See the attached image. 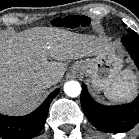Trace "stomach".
Here are the masks:
<instances>
[{
  "mask_svg": "<svg viewBox=\"0 0 139 139\" xmlns=\"http://www.w3.org/2000/svg\"><path fill=\"white\" fill-rule=\"evenodd\" d=\"M101 40L96 58L75 62L72 72L85 73L90 77L93 87L97 90H106L121 68V60L112 51L103 48Z\"/></svg>",
  "mask_w": 139,
  "mask_h": 139,
  "instance_id": "obj_1",
  "label": "stomach"
}]
</instances>
